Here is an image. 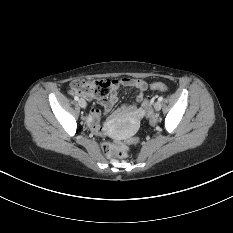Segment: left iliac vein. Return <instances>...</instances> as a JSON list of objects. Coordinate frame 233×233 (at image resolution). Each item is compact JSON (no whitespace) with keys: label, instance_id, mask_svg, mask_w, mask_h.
<instances>
[{"label":"left iliac vein","instance_id":"1","mask_svg":"<svg viewBox=\"0 0 233 233\" xmlns=\"http://www.w3.org/2000/svg\"><path fill=\"white\" fill-rule=\"evenodd\" d=\"M161 107H162V104H161L160 101H157V102L155 103V105H154V109H155L156 111H160Z\"/></svg>","mask_w":233,"mask_h":233}]
</instances>
